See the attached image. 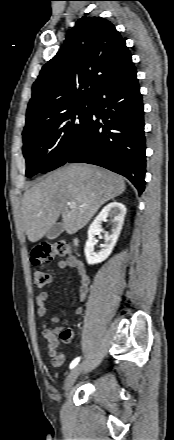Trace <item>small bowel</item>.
Instances as JSON below:
<instances>
[{
    "label": "small bowel",
    "mask_w": 174,
    "mask_h": 440,
    "mask_svg": "<svg viewBox=\"0 0 174 440\" xmlns=\"http://www.w3.org/2000/svg\"><path fill=\"white\" fill-rule=\"evenodd\" d=\"M58 267L61 270L70 269L74 271L80 277L79 287V301H83L88 293L90 279L84 265L76 258L70 257L65 260H61L58 263ZM48 299V293L46 291H40L36 294L37 314L39 317H45L47 313L46 301ZM75 314L82 313V308L77 307ZM61 319L58 316L52 317V321L59 322ZM61 330L48 324H43L42 335L47 340L48 355L52 358V363L55 367H61L65 363V357L59 353L58 345L59 341L57 336L60 337L64 343L71 342V335L69 337H61Z\"/></svg>",
    "instance_id": "c3829d8e"
}]
</instances>
